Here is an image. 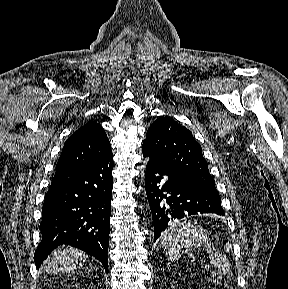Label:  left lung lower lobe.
<instances>
[{
  "label": "left lung lower lobe",
  "instance_id": "left-lung-lower-lobe-1",
  "mask_svg": "<svg viewBox=\"0 0 288 289\" xmlns=\"http://www.w3.org/2000/svg\"><path fill=\"white\" fill-rule=\"evenodd\" d=\"M146 166L145 189L153 223L154 242L172 221L197 213L224 215L216 189L192 181L158 162L143 145ZM166 178V181L161 182Z\"/></svg>",
  "mask_w": 288,
  "mask_h": 289
}]
</instances>
